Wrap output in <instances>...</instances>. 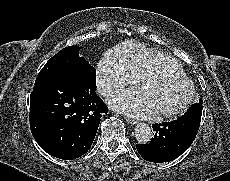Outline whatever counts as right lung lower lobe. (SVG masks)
Segmentation results:
<instances>
[{"mask_svg": "<svg viewBox=\"0 0 230 181\" xmlns=\"http://www.w3.org/2000/svg\"><path fill=\"white\" fill-rule=\"evenodd\" d=\"M96 85L83 77L36 79L30 95V127L48 154L72 160L85 154L108 108L96 95Z\"/></svg>", "mask_w": 230, "mask_h": 181, "instance_id": "98d812e1", "label": "right lung lower lobe"}]
</instances>
